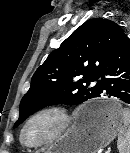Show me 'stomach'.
Returning <instances> with one entry per match:
<instances>
[{"mask_svg": "<svg viewBox=\"0 0 130 153\" xmlns=\"http://www.w3.org/2000/svg\"><path fill=\"white\" fill-rule=\"evenodd\" d=\"M86 110L94 115L82 118ZM122 125V106L115 99H102L81 107L72 127L43 153H96L109 145Z\"/></svg>", "mask_w": 130, "mask_h": 153, "instance_id": "0dacf381", "label": "stomach"}]
</instances>
